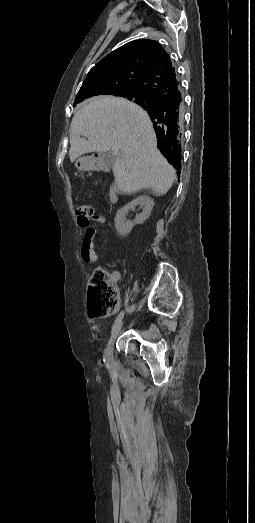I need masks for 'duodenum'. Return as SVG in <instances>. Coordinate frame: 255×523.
Here are the masks:
<instances>
[{
  "instance_id": "410a0bca",
  "label": "duodenum",
  "mask_w": 255,
  "mask_h": 523,
  "mask_svg": "<svg viewBox=\"0 0 255 523\" xmlns=\"http://www.w3.org/2000/svg\"><path fill=\"white\" fill-rule=\"evenodd\" d=\"M82 167L84 170L88 171H106L109 168L107 162L97 155L88 156L84 158L82 161ZM110 200L112 202H115L117 200L115 189H113L110 193Z\"/></svg>"
}]
</instances>
